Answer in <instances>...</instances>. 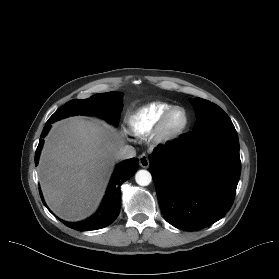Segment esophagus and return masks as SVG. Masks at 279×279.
<instances>
[{
    "label": "esophagus",
    "mask_w": 279,
    "mask_h": 279,
    "mask_svg": "<svg viewBox=\"0 0 279 279\" xmlns=\"http://www.w3.org/2000/svg\"><path fill=\"white\" fill-rule=\"evenodd\" d=\"M139 163H140V166L143 167V168H148L149 167V159H148V156L145 155V154H142L139 156Z\"/></svg>",
    "instance_id": "obj_1"
}]
</instances>
